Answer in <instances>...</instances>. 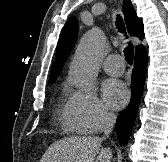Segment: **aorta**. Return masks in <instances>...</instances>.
<instances>
[{
  "mask_svg": "<svg viewBox=\"0 0 168 162\" xmlns=\"http://www.w3.org/2000/svg\"><path fill=\"white\" fill-rule=\"evenodd\" d=\"M106 40L99 28L90 29L79 43L71 66V77L82 90L89 91L96 80Z\"/></svg>",
  "mask_w": 168,
  "mask_h": 162,
  "instance_id": "obj_1",
  "label": "aorta"
}]
</instances>
